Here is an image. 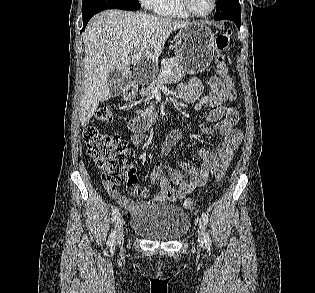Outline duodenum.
I'll return each instance as SVG.
<instances>
[{
	"label": "duodenum",
	"mask_w": 315,
	"mask_h": 293,
	"mask_svg": "<svg viewBox=\"0 0 315 293\" xmlns=\"http://www.w3.org/2000/svg\"><path fill=\"white\" fill-rule=\"evenodd\" d=\"M136 91H137L136 85L129 84L124 88L123 96L124 98L126 96H129L130 98H132L136 94ZM163 112H164V109L162 107H157L143 116L136 117L130 123L131 130L135 132H142L146 130L156 118H158L159 116L163 114Z\"/></svg>",
	"instance_id": "410a0bca"
}]
</instances>
